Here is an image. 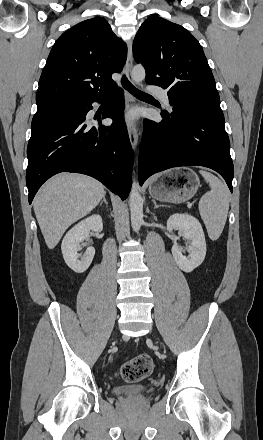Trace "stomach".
<instances>
[{"label":"stomach","instance_id":"0dacf381","mask_svg":"<svg viewBox=\"0 0 263 440\" xmlns=\"http://www.w3.org/2000/svg\"><path fill=\"white\" fill-rule=\"evenodd\" d=\"M199 187V177L192 169L177 168L154 177L149 193L159 201L179 204L191 199Z\"/></svg>","mask_w":263,"mask_h":440}]
</instances>
